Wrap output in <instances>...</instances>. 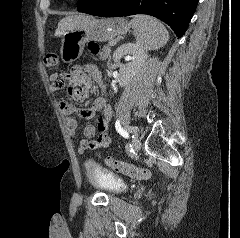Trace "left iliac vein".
I'll use <instances>...</instances> for the list:
<instances>
[{
    "label": "left iliac vein",
    "instance_id": "1",
    "mask_svg": "<svg viewBox=\"0 0 240 238\" xmlns=\"http://www.w3.org/2000/svg\"><path fill=\"white\" fill-rule=\"evenodd\" d=\"M140 148H141V141L136 135L135 139L133 140V150L137 152L140 150Z\"/></svg>",
    "mask_w": 240,
    "mask_h": 238
}]
</instances>
